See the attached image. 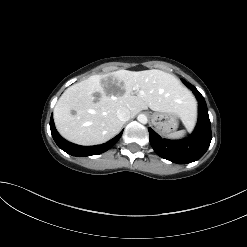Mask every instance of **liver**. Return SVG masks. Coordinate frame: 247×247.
<instances>
[{
    "instance_id": "6515ba94",
    "label": "liver",
    "mask_w": 247,
    "mask_h": 247,
    "mask_svg": "<svg viewBox=\"0 0 247 247\" xmlns=\"http://www.w3.org/2000/svg\"><path fill=\"white\" fill-rule=\"evenodd\" d=\"M94 94L100 95L96 102ZM121 107L128 108L131 116L148 107L173 113L190 128L196 116L194 98L174 75L157 69H122L90 76L69 87L54 108L55 126L73 143L101 144L120 132L124 122L116 113Z\"/></svg>"
}]
</instances>
